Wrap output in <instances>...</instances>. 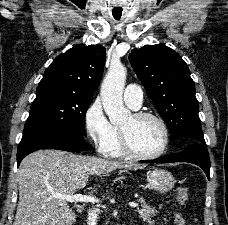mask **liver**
<instances>
[{
    "mask_svg": "<svg viewBox=\"0 0 228 225\" xmlns=\"http://www.w3.org/2000/svg\"><path fill=\"white\" fill-rule=\"evenodd\" d=\"M130 161H106L67 151H36L23 159L17 173L19 203L13 225H73L76 215L65 199L84 189L90 175L106 177L116 169H133ZM83 205H77L82 213Z\"/></svg>",
    "mask_w": 228,
    "mask_h": 225,
    "instance_id": "6515ba94",
    "label": "liver"
}]
</instances>
